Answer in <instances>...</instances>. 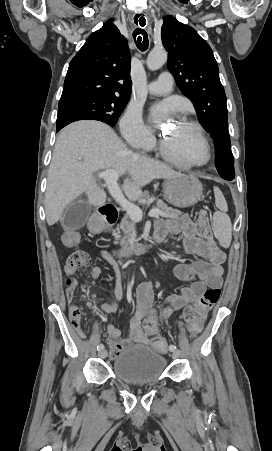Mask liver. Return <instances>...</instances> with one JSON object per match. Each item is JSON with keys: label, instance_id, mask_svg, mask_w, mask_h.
I'll return each instance as SVG.
<instances>
[{"label": "liver", "instance_id": "liver-1", "mask_svg": "<svg viewBox=\"0 0 272 451\" xmlns=\"http://www.w3.org/2000/svg\"><path fill=\"white\" fill-rule=\"evenodd\" d=\"M78 158H82L81 162ZM99 170L127 174L123 190L129 200H139L142 186L152 180L184 176L162 162L130 152L107 124L94 120L74 122L56 140L45 192L48 226L61 220L66 206L81 194H86L90 206L105 204L107 196L94 178Z\"/></svg>", "mask_w": 272, "mask_h": 451}]
</instances>
